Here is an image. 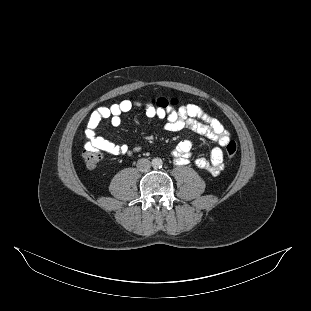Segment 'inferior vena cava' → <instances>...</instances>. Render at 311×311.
<instances>
[{
    "instance_id": "602c4592",
    "label": "inferior vena cava",
    "mask_w": 311,
    "mask_h": 311,
    "mask_svg": "<svg viewBox=\"0 0 311 311\" xmlns=\"http://www.w3.org/2000/svg\"><path fill=\"white\" fill-rule=\"evenodd\" d=\"M137 169L141 172H145L150 169L151 162L148 159L142 158L137 161Z\"/></svg>"
}]
</instances>
